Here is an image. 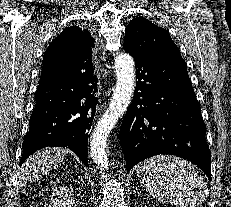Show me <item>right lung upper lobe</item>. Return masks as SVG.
I'll return each instance as SVG.
<instances>
[{
	"label": "right lung upper lobe",
	"mask_w": 231,
	"mask_h": 207,
	"mask_svg": "<svg viewBox=\"0 0 231 207\" xmlns=\"http://www.w3.org/2000/svg\"><path fill=\"white\" fill-rule=\"evenodd\" d=\"M94 46V39L88 31L79 27L71 26L62 31L47 48L43 56L45 66H63L67 71H74L81 66L79 62H86L91 57V48Z\"/></svg>",
	"instance_id": "right-lung-upper-lobe-1"
}]
</instances>
